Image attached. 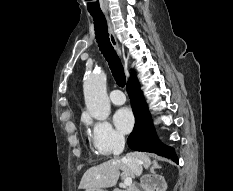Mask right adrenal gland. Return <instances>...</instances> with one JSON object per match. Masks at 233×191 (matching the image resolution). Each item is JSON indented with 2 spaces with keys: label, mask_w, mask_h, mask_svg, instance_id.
<instances>
[{
  "label": "right adrenal gland",
  "mask_w": 233,
  "mask_h": 191,
  "mask_svg": "<svg viewBox=\"0 0 233 191\" xmlns=\"http://www.w3.org/2000/svg\"><path fill=\"white\" fill-rule=\"evenodd\" d=\"M161 168V166L158 164V162L157 161H152V166H151V168H150V173L152 174V175H155V169H160ZM146 175H144L143 177H142V179L145 177Z\"/></svg>",
  "instance_id": "right-adrenal-gland-1"
}]
</instances>
